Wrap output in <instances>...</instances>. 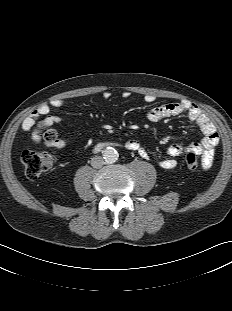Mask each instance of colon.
<instances>
[{
	"label": "colon",
	"mask_w": 232,
	"mask_h": 311,
	"mask_svg": "<svg viewBox=\"0 0 232 311\" xmlns=\"http://www.w3.org/2000/svg\"><path fill=\"white\" fill-rule=\"evenodd\" d=\"M44 138L46 141H53L56 139L55 133L52 130H48L44 133ZM21 160L26 177L30 180H36L53 167L56 155L52 151L37 152L25 150ZM185 163L189 169H197L199 166L198 156L194 152L187 153Z\"/></svg>",
	"instance_id": "colon-1"
}]
</instances>
